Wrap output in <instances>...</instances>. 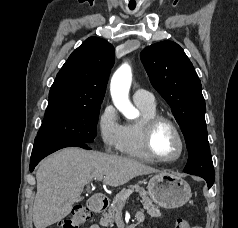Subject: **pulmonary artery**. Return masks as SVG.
Masks as SVG:
<instances>
[{
  "label": "pulmonary artery",
  "instance_id": "1",
  "mask_svg": "<svg viewBox=\"0 0 238 228\" xmlns=\"http://www.w3.org/2000/svg\"><path fill=\"white\" fill-rule=\"evenodd\" d=\"M133 101L135 102V104H141L146 106L155 105V99L153 95L144 89H136L134 91Z\"/></svg>",
  "mask_w": 238,
  "mask_h": 228
}]
</instances>
